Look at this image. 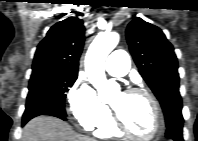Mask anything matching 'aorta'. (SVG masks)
I'll return each mask as SVG.
<instances>
[{
	"mask_svg": "<svg viewBox=\"0 0 198 141\" xmlns=\"http://www.w3.org/2000/svg\"><path fill=\"white\" fill-rule=\"evenodd\" d=\"M119 38L116 32L99 33L90 44L85 56L86 74L97 90L98 99L102 102H109L119 90L115 82L107 80L104 70L105 60L119 43Z\"/></svg>",
	"mask_w": 198,
	"mask_h": 141,
	"instance_id": "1",
	"label": "aorta"
}]
</instances>
